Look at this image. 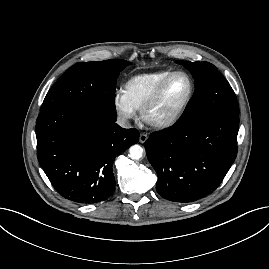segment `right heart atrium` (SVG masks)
Returning <instances> with one entry per match:
<instances>
[{
  "instance_id": "obj_1",
  "label": "right heart atrium",
  "mask_w": 269,
  "mask_h": 269,
  "mask_svg": "<svg viewBox=\"0 0 269 269\" xmlns=\"http://www.w3.org/2000/svg\"><path fill=\"white\" fill-rule=\"evenodd\" d=\"M113 106L117 115L125 122L136 115V110L129 103L123 91H117L114 94Z\"/></svg>"
}]
</instances>
